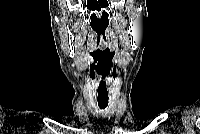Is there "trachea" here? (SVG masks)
Returning a JSON list of instances; mask_svg holds the SVG:
<instances>
[{"mask_svg":"<svg viewBox=\"0 0 200 134\" xmlns=\"http://www.w3.org/2000/svg\"><path fill=\"white\" fill-rule=\"evenodd\" d=\"M98 105L101 109H105L108 106V101H98Z\"/></svg>","mask_w":200,"mask_h":134,"instance_id":"3493384b","label":"trachea"}]
</instances>
